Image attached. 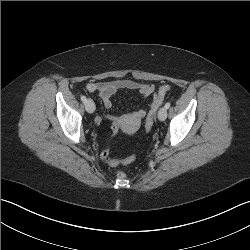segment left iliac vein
<instances>
[{
  "label": "left iliac vein",
  "instance_id": "left-iliac-vein-1",
  "mask_svg": "<svg viewBox=\"0 0 250 250\" xmlns=\"http://www.w3.org/2000/svg\"><path fill=\"white\" fill-rule=\"evenodd\" d=\"M167 117V109L165 107H162L158 112V119L160 121H164Z\"/></svg>",
  "mask_w": 250,
  "mask_h": 250
}]
</instances>
